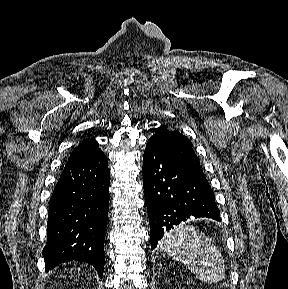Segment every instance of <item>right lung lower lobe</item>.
Listing matches in <instances>:
<instances>
[{
    "mask_svg": "<svg viewBox=\"0 0 288 289\" xmlns=\"http://www.w3.org/2000/svg\"><path fill=\"white\" fill-rule=\"evenodd\" d=\"M110 171L103 152L67 162L49 201L46 271L69 260L85 261L99 276L105 264Z\"/></svg>",
    "mask_w": 288,
    "mask_h": 289,
    "instance_id": "98d812e1",
    "label": "right lung lower lobe"
}]
</instances>
